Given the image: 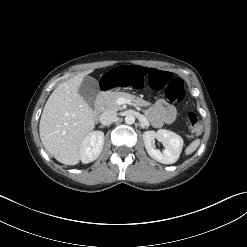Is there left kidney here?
Returning <instances> with one entry per match:
<instances>
[{
    "instance_id": "obj_1",
    "label": "left kidney",
    "mask_w": 247,
    "mask_h": 247,
    "mask_svg": "<svg viewBox=\"0 0 247 247\" xmlns=\"http://www.w3.org/2000/svg\"><path fill=\"white\" fill-rule=\"evenodd\" d=\"M155 139L163 143L164 150L162 152L155 148ZM143 140L149 156L163 164L175 163L184 145L181 136L165 129H159L157 132L145 131L143 133Z\"/></svg>"
}]
</instances>
